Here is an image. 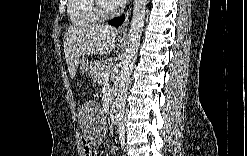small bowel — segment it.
<instances>
[{"instance_id": "1", "label": "small bowel", "mask_w": 247, "mask_h": 156, "mask_svg": "<svg viewBox=\"0 0 247 156\" xmlns=\"http://www.w3.org/2000/svg\"><path fill=\"white\" fill-rule=\"evenodd\" d=\"M85 153H86L87 156H94V155H96V152L95 151L88 150V149H85Z\"/></svg>"}]
</instances>
